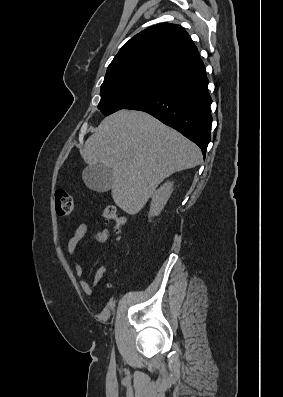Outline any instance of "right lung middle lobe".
I'll return each mask as SVG.
<instances>
[{"label": "right lung middle lobe", "mask_w": 283, "mask_h": 397, "mask_svg": "<svg viewBox=\"0 0 283 397\" xmlns=\"http://www.w3.org/2000/svg\"><path fill=\"white\" fill-rule=\"evenodd\" d=\"M168 81L144 73L116 74L105 77L98 108L107 116L124 109Z\"/></svg>", "instance_id": "dd1d6c3e"}]
</instances>
